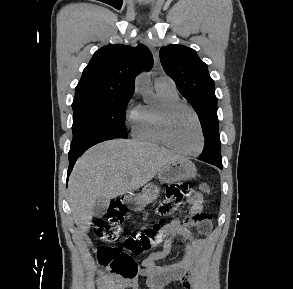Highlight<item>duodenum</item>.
Here are the masks:
<instances>
[{
	"mask_svg": "<svg viewBox=\"0 0 293 289\" xmlns=\"http://www.w3.org/2000/svg\"><path fill=\"white\" fill-rule=\"evenodd\" d=\"M125 200L128 201V202H130V201L132 200L131 195L127 194V195L125 196Z\"/></svg>",
	"mask_w": 293,
	"mask_h": 289,
	"instance_id": "1",
	"label": "duodenum"
}]
</instances>
